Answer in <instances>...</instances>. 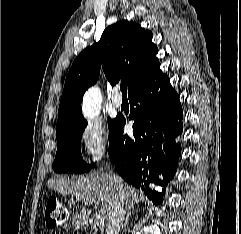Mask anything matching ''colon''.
Segmentation results:
<instances>
[{"mask_svg":"<svg viewBox=\"0 0 241 234\" xmlns=\"http://www.w3.org/2000/svg\"><path fill=\"white\" fill-rule=\"evenodd\" d=\"M44 219L45 224L49 229H54L65 222L66 209L55 197H50L47 199Z\"/></svg>","mask_w":241,"mask_h":234,"instance_id":"colon-1","label":"colon"}]
</instances>
